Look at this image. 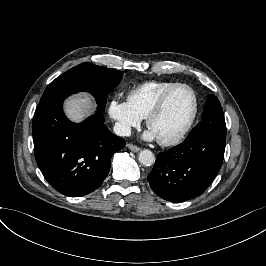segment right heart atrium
Returning <instances> with one entry per match:
<instances>
[{
	"instance_id": "right-heart-atrium-1",
	"label": "right heart atrium",
	"mask_w": 266,
	"mask_h": 266,
	"mask_svg": "<svg viewBox=\"0 0 266 266\" xmlns=\"http://www.w3.org/2000/svg\"><path fill=\"white\" fill-rule=\"evenodd\" d=\"M108 113L115 121L118 131L122 134L129 133L131 129L138 126L142 120L129 100H123L117 96L109 100Z\"/></svg>"
}]
</instances>
